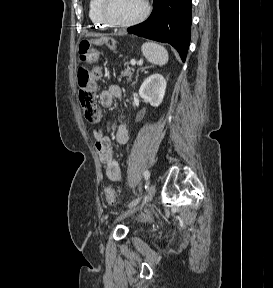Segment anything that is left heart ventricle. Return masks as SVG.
I'll list each match as a JSON object with an SVG mask.
<instances>
[{"label": "left heart ventricle", "instance_id": "b2bd125f", "mask_svg": "<svg viewBox=\"0 0 273 288\" xmlns=\"http://www.w3.org/2000/svg\"><path fill=\"white\" fill-rule=\"evenodd\" d=\"M143 9V0H108L106 5V13L114 21L134 19Z\"/></svg>", "mask_w": 273, "mask_h": 288}]
</instances>
